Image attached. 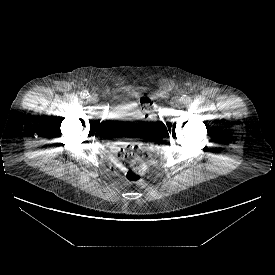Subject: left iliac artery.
Masks as SVG:
<instances>
[{"label":"left iliac artery","instance_id":"1","mask_svg":"<svg viewBox=\"0 0 275 275\" xmlns=\"http://www.w3.org/2000/svg\"><path fill=\"white\" fill-rule=\"evenodd\" d=\"M181 101H182L184 104H188V103L191 101V99H190L189 96L183 95V96L181 97Z\"/></svg>","mask_w":275,"mask_h":275}]
</instances>
